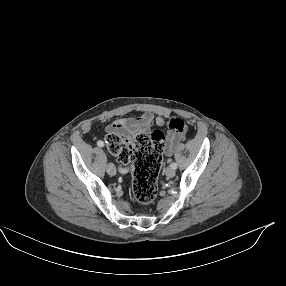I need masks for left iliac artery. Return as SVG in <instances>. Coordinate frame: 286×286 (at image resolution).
<instances>
[{
	"instance_id": "1",
	"label": "left iliac artery",
	"mask_w": 286,
	"mask_h": 286,
	"mask_svg": "<svg viewBox=\"0 0 286 286\" xmlns=\"http://www.w3.org/2000/svg\"><path fill=\"white\" fill-rule=\"evenodd\" d=\"M170 166H171L172 169H176L177 168V164L176 163H171Z\"/></svg>"
}]
</instances>
